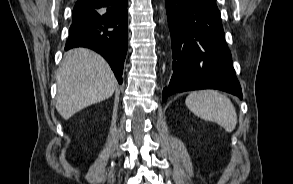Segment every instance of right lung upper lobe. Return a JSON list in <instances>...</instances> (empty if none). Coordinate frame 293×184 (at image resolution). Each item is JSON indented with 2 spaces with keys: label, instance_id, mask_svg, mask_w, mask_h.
Returning <instances> with one entry per match:
<instances>
[{
  "label": "right lung upper lobe",
  "instance_id": "right-lung-upper-lobe-1",
  "mask_svg": "<svg viewBox=\"0 0 293 184\" xmlns=\"http://www.w3.org/2000/svg\"><path fill=\"white\" fill-rule=\"evenodd\" d=\"M100 1H108V0H77L76 4H85L88 6H92V3H100Z\"/></svg>",
  "mask_w": 293,
  "mask_h": 184
}]
</instances>
